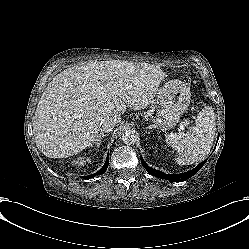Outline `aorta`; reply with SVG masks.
I'll list each match as a JSON object with an SVG mask.
<instances>
[{
	"label": "aorta",
	"instance_id": "obj_1",
	"mask_svg": "<svg viewBox=\"0 0 249 249\" xmlns=\"http://www.w3.org/2000/svg\"><path fill=\"white\" fill-rule=\"evenodd\" d=\"M138 136L135 131L128 129L122 133V141L126 145L135 144L137 142Z\"/></svg>",
	"mask_w": 249,
	"mask_h": 249
}]
</instances>
